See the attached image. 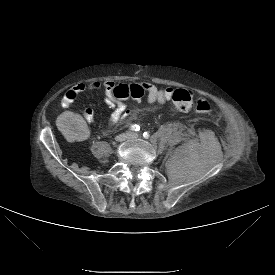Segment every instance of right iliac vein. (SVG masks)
Wrapping results in <instances>:
<instances>
[{"instance_id": "right-iliac-vein-1", "label": "right iliac vein", "mask_w": 275, "mask_h": 275, "mask_svg": "<svg viewBox=\"0 0 275 275\" xmlns=\"http://www.w3.org/2000/svg\"><path fill=\"white\" fill-rule=\"evenodd\" d=\"M128 138H130V134L129 133H123L118 135L115 140L117 142H124L125 140H127Z\"/></svg>"}]
</instances>
